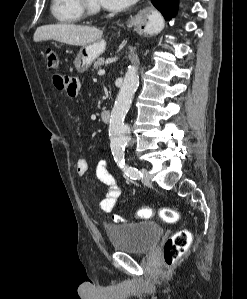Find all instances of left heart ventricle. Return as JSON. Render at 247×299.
I'll list each match as a JSON object with an SVG mask.
<instances>
[{
    "mask_svg": "<svg viewBox=\"0 0 247 299\" xmlns=\"http://www.w3.org/2000/svg\"><path fill=\"white\" fill-rule=\"evenodd\" d=\"M92 1H94L95 3H98V4H99V1H98V0H92Z\"/></svg>",
    "mask_w": 247,
    "mask_h": 299,
    "instance_id": "1",
    "label": "left heart ventricle"
}]
</instances>
